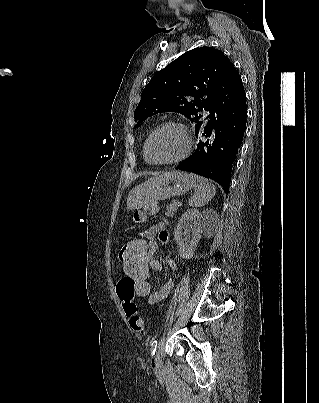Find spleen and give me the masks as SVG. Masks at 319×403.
<instances>
[{
  "label": "spleen",
  "mask_w": 319,
  "mask_h": 403,
  "mask_svg": "<svg viewBox=\"0 0 319 403\" xmlns=\"http://www.w3.org/2000/svg\"><path fill=\"white\" fill-rule=\"evenodd\" d=\"M195 181V193L189 199V206L202 207L207 204L216 194L215 186L206 178L199 175L190 174Z\"/></svg>",
  "instance_id": "3e777b00"
}]
</instances>
